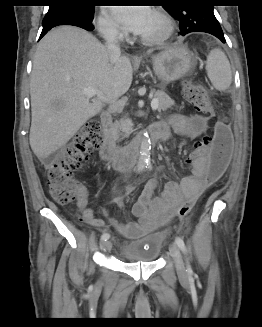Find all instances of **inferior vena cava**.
Masks as SVG:
<instances>
[{
	"instance_id": "obj_1",
	"label": "inferior vena cava",
	"mask_w": 262,
	"mask_h": 327,
	"mask_svg": "<svg viewBox=\"0 0 262 327\" xmlns=\"http://www.w3.org/2000/svg\"><path fill=\"white\" fill-rule=\"evenodd\" d=\"M104 38L106 40V47L112 59L119 58L121 55L119 41L117 39V32L112 29L104 31Z\"/></svg>"
}]
</instances>
